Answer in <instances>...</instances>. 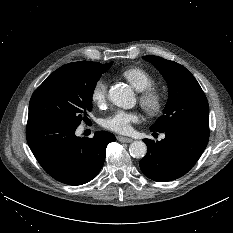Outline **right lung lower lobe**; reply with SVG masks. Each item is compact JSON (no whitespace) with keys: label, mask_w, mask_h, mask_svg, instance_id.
Segmentation results:
<instances>
[{"label":"right lung lower lobe","mask_w":233,"mask_h":233,"mask_svg":"<svg viewBox=\"0 0 233 233\" xmlns=\"http://www.w3.org/2000/svg\"><path fill=\"white\" fill-rule=\"evenodd\" d=\"M78 126L56 120L28 119V145L43 169L54 179L82 185L101 170L106 148L115 141L111 133L96 132L93 138L75 136Z\"/></svg>","instance_id":"obj_1"}]
</instances>
